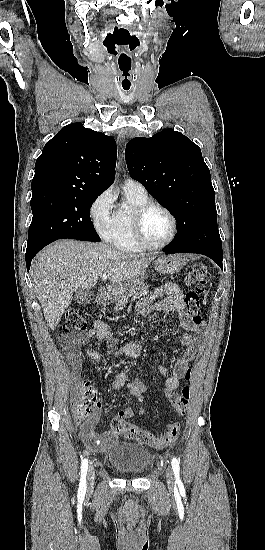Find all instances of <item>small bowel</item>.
Here are the masks:
<instances>
[{"label": "small bowel", "instance_id": "c3829d8e", "mask_svg": "<svg viewBox=\"0 0 265 550\" xmlns=\"http://www.w3.org/2000/svg\"><path fill=\"white\" fill-rule=\"evenodd\" d=\"M137 312L143 317H147L152 313L174 312L185 330L180 337V344L185 347L183 355L174 362L171 368L160 366L158 369L159 373L165 377L164 393L167 396L177 390L179 381L190 370V362L197 357L204 345L203 336L199 333L201 324L194 323L184 314L183 294L179 287L172 282L164 284L148 297L141 299L137 303ZM94 338L106 341L109 345L117 343V339L110 328L102 321L95 322L94 326L86 332L61 336L60 342L65 348V356L71 367L76 368L81 361V346L87 345ZM142 350L141 344L131 342L121 346L115 355L116 357L139 358L142 355ZM85 354L95 362L102 361V355L95 350L86 349ZM111 386L113 389L127 388L140 404L138 414L141 416L145 414L142 404L147 388L141 379L131 380L128 370L124 369L116 372ZM100 408L93 420L79 430L81 440L92 451H101L107 448L116 438V434L113 432L98 433L95 430ZM134 414L135 411L131 406H127L118 412V416L125 419L133 417Z\"/></svg>", "mask_w": 265, "mask_h": 550}]
</instances>
